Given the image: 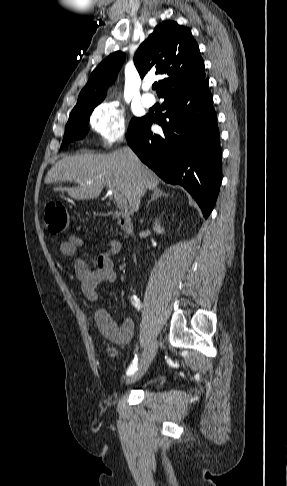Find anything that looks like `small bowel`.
Here are the masks:
<instances>
[{
  "instance_id": "c3829d8e",
  "label": "small bowel",
  "mask_w": 287,
  "mask_h": 486,
  "mask_svg": "<svg viewBox=\"0 0 287 486\" xmlns=\"http://www.w3.org/2000/svg\"><path fill=\"white\" fill-rule=\"evenodd\" d=\"M85 242L76 235H69L60 243V252L67 257H73ZM108 250L102 252L97 258V267L91 268L83 259L77 258L74 261L76 277L81 282V290L90 301H97L99 298L98 286L107 282L114 284L117 279L113 256L121 250V243L118 240L106 242ZM97 326L102 335L109 341L124 345L131 342L134 335V323L130 318L122 323L116 322L110 313L105 309H99L95 314Z\"/></svg>"
}]
</instances>
